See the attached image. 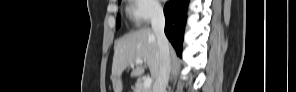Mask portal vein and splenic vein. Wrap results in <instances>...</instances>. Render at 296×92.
Instances as JSON below:
<instances>
[{"mask_svg":"<svg viewBox=\"0 0 296 92\" xmlns=\"http://www.w3.org/2000/svg\"><path fill=\"white\" fill-rule=\"evenodd\" d=\"M135 63L142 65L143 64V60L142 59H137V60H135ZM151 84H152V79L150 77H147L144 80V82H143V85H144L145 88H150L151 87Z\"/></svg>","mask_w":296,"mask_h":92,"instance_id":"obj_1","label":"portal vein and splenic vein"}]
</instances>
